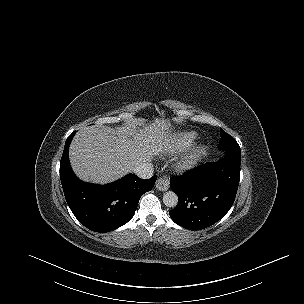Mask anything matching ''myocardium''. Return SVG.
Segmentation results:
<instances>
[{
  "label": "myocardium",
  "mask_w": 304,
  "mask_h": 304,
  "mask_svg": "<svg viewBox=\"0 0 304 304\" xmlns=\"http://www.w3.org/2000/svg\"><path fill=\"white\" fill-rule=\"evenodd\" d=\"M205 146H197L182 155L176 162L178 170L185 172L192 169L204 154Z\"/></svg>",
  "instance_id": "obj_1"
}]
</instances>
